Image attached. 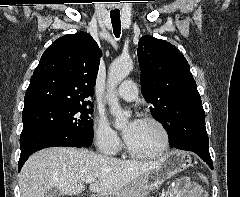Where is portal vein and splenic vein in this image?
Here are the masks:
<instances>
[{"instance_id":"18ae733b","label":"portal vein and splenic vein","mask_w":240,"mask_h":197,"mask_svg":"<svg viewBox=\"0 0 240 197\" xmlns=\"http://www.w3.org/2000/svg\"><path fill=\"white\" fill-rule=\"evenodd\" d=\"M95 181V179H87L85 182L86 183H92V182H94Z\"/></svg>"}]
</instances>
